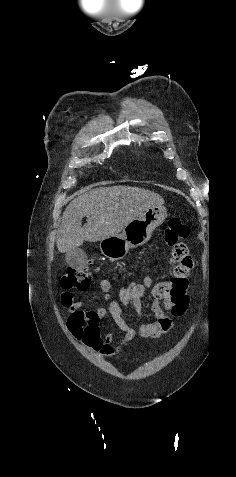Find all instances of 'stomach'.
Wrapping results in <instances>:
<instances>
[{
  "label": "stomach",
  "instance_id": "0dacf381",
  "mask_svg": "<svg viewBox=\"0 0 236 477\" xmlns=\"http://www.w3.org/2000/svg\"><path fill=\"white\" fill-rule=\"evenodd\" d=\"M167 216L163 206L152 207L141 216L131 221L121 234L101 240L100 250L111 261L124 258L129 249L146 244L156 227L161 225Z\"/></svg>",
  "mask_w": 236,
  "mask_h": 477
}]
</instances>
